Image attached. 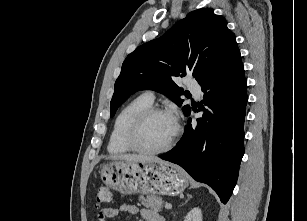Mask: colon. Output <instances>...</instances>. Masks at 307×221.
<instances>
[{
    "instance_id": "1",
    "label": "colon",
    "mask_w": 307,
    "mask_h": 221,
    "mask_svg": "<svg viewBox=\"0 0 307 221\" xmlns=\"http://www.w3.org/2000/svg\"><path fill=\"white\" fill-rule=\"evenodd\" d=\"M112 201V193L108 186L103 185L98 188L96 195V206L101 207Z\"/></svg>"
}]
</instances>
